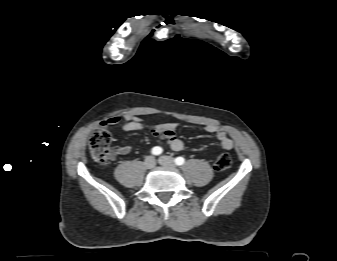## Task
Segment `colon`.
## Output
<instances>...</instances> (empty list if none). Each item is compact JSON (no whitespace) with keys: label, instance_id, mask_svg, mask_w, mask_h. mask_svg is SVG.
Here are the masks:
<instances>
[{"label":"colon","instance_id":"obj_1","mask_svg":"<svg viewBox=\"0 0 337 261\" xmlns=\"http://www.w3.org/2000/svg\"><path fill=\"white\" fill-rule=\"evenodd\" d=\"M89 150L92 159L98 164H106L115 153L111 145V136L105 130L94 131L89 139ZM231 156L227 152L221 153L215 161V169L224 171L231 166Z\"/></svg>","mask_w":337,"mask_h":261}]
</instances>
